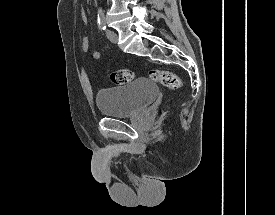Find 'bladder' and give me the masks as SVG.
I'll return each mask as SVG.
<instances>
[{"label": "bladder", "mask_w": 275, "mask_h": 215, "mask_svg": "<svg viewBox=\"0 0 275 215\" xmlns=\"http://www.w3.org/2000/svg\"><path fill=\"white\" fill-rule=\"evenodd\" d=\"M158 93V87L150 79L141 77L98 93L96 103L105 117L129 118L149 106Z\"/></svg>", "instance_id": "obj_1"}]
</instances>
